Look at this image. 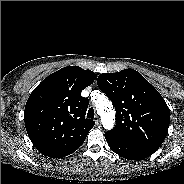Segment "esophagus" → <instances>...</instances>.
Returning <instances> with one entry per match:
<instances>
[{
  "label": "esophagus",
  "mask_w": 184,
  "mask_h": 184,
  "mask_svg": "<svg viewBox=\"0 0 184 184\" xmlns=\"http://www.w3.org/2000/svg\"><path fill=\"white\" fill-rule=\"evenodd\" d=\"M95 123L97 124V125H100V118H99V116H96L95 117Z\"/></svg>",
  "instance_id": "1"
}]
</instances>
